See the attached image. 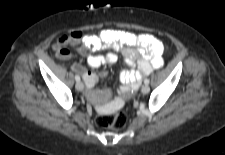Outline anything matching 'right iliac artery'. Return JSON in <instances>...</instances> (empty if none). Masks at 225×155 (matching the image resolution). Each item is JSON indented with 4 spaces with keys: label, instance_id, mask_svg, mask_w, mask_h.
<instances>
[{
    "label": "right iliac artery",
    "instance_id": "obj_1",
    "mask_svg": "<svg viewBox=\"0 0 225 155\" xmlns=\"http://www.w3.org/2000/svg\"><path fill=\"white\" fill-rule=\"evenodd\" d=\"M75 80H76V81H80V76H79V75H76V76H75Z\"/></svg>",
    "mask_w": 225,
    "mask_h": 155
}]
</instances>
